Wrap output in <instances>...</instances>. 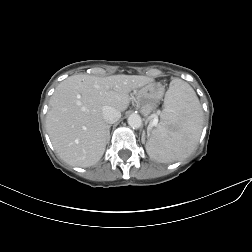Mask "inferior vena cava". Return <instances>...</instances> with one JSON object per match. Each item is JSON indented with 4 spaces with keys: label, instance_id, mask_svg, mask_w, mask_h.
Listing matches in <instances>:
<instances>
[{
    "label": "inferior vena cava",
    "instance_id": "602c4592",
    "mask_svg": "<svg viewBox=\"0 0 252 252\" xmlns=\"http://www.w3.org/2000/svg\"><path fill=\"white\" fill-rule=\"evenodd\" d=\"M102 116L106 123L113 124L121 117V112L114 107L105 105L102 107Z\"/></svg>",
    "mask_w": 252,
    "mask_h": 252
}]
</instances>
